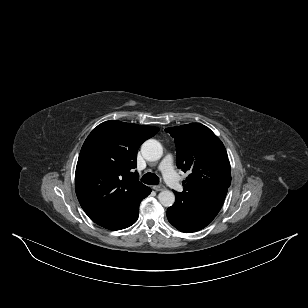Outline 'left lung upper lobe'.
<instances>
[{
	"label": "left lung upper lobe",
	"mask_w": 308,
	"mask_h": 308,
	"mask_svg": "<svg viewBox=\"0 0 308 308\" xmlns=\"http://www.w3.org/2000/svg\"><path fill=\"white\" fill-rule=\"evenodd\" d=\"M165 131L175 139L178 168L190 173L183 182V192H177L183 200H196L229 188L231 175L226 149L208 127L190 123Z\"/></svg>",
	"instance_id": "5c2ea615"
}]
</instances>
